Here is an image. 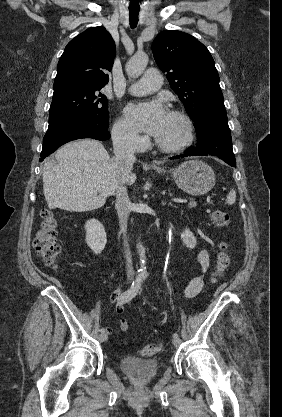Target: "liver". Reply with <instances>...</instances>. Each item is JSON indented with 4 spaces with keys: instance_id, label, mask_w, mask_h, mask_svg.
Returning a JSON list of instances; mask_svg holds the SVG:
<instances>
[{
    "instance_id": "6515ba94",
    "label": "liver",
    "mask_w": 282,
    "mask_h": 417,
    "mask_svg": "<svg viewBox=\"0 0 282 417\" xmlns=\"http://www.w3.org/2000/svg\"><path fill=\"white\" fill-rule=\"evenodd\" d=\"M56 164L45 162L43 192L48 209L95 211L115 194L121 182L133 184L136 174H123L100 140L67 142L55 154ZM99 192V194H97Z\"/></svg>"
}]
</instances>
